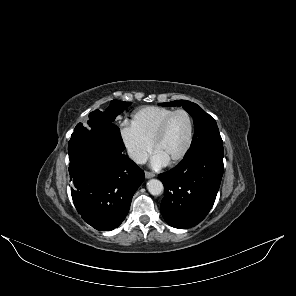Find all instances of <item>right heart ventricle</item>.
<instances>
[{
	"mask_svg": "<svg viewBox=\"0 0 296 296\" xmlns=\"http://www.w3.org/2000/svg\"><path fill=\"white\" fill-rule=\"evenodd\" d=\"M173 111V109L158 106L137 110L132 115L131 128L142 140L151 145L159 126Z\"/></svg>",
	"mask_w": 296,
	"mask_h": 296,
	"instance_id": "1",
	"label": "right heart ventricle"
}]
</instances>
